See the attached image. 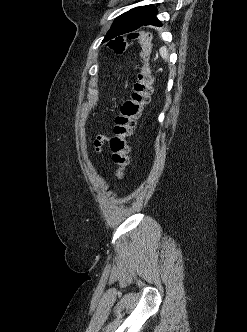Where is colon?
Masks as SVG:
<instances>
[{
    "label": "colon",
    "mask_w": 247,
    "mask_h": 332,
    "mask_svg": "<svg viewBox=\"0 0 247 332\" xmlns=\"http://www.w3.org/2000/svg\"><path fill=\"white\" fill-rule=\"evenodd\" d=\"M127 39L139 42L142 67L137 75L130 99L122 104L120 113L115 118L114 136L110 139L112 160L115 165L114 176L118 180H122L125 176V170L130 161L128 138L132 135L143 108L150 101L154 82L153 69L150 64L152 50L151 34L142 30H133L128 34L127 38L117 37L113 39L109 43V47L115 53H122L126 49Z\"/></svg>",
    "instance_id": "1"
}]
</instances>
